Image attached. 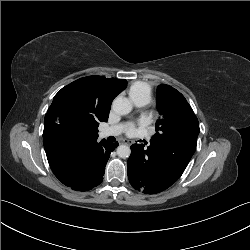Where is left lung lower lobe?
<instances>
[{
  "instance_id": "obj_1",
  "label": "left lung lower lobe",
  "mask_w": 250,
  "mask_h": 250,
  "mask_svg": "<svg viewBox=\"0 0 250 250\" xmlns=\"http://www.w3.org/2000/svg\"><path fill=\"white\" fill-rule=\"evenodd\" d=\"M197 138L183 136L179 139L152 141L144 145L133 144L127 162L130 184L146 194L164 191L174 184L192 158Z\"/></svg>"
}]
</instances>
